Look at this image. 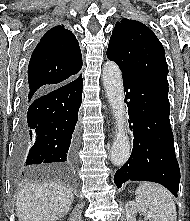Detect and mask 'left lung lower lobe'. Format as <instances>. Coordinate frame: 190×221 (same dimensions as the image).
Masks as SVG:
<instances>
[{
    "label": "left lung lower lobe",
    "instance_id": "obj_1",
    "mask_svg": "<svg viewBox=\"0 0 190 221\" xmlns=\"http://www.w3.org/2000/svg\"><path fill=\"white\" fill-rule=\"evenodd\" d=\"M133 149L128 161L116 171L118 188L128 180L156 182L177 196L180 170L170 126L168 85L122 74Z\"/></svg>",
    "mask_w": 190,
    "mask_h": 221
}]
</instances>
